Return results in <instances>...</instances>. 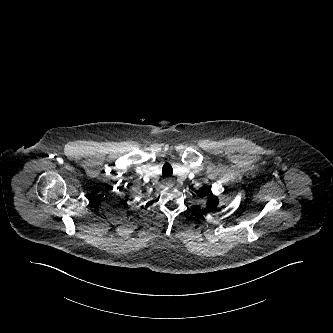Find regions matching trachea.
Returning <instances> with one entry per match:
<instances>
[{
    "label": "trachea",
    "mask_w": 333,
    "mask_h": 333,
    "mask_svg": "<svg viewBox=\"0 0 333 333\" xmlns=\"http://www.w3.org/2000/svg\"><path fill=\"white\" fill-rule=\"evenodd\" d=\"M172 173H173V169L171 167L170 164L166 163L164 166H163V169H162V175L163 176H172Z\"/></svg>",
    "instance_id": "3493384b"
}]
</instances>
